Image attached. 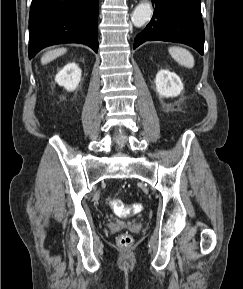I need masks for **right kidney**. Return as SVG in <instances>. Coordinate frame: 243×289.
<instances>
[{
	"label": "right kidney",
	"mask_w": 243,
	"mask_h": 289,
	"mask_svg": "<svg viewBox=\"0 0 243 289\" xmlns=\"http://www.w3.org/2000/svg\"><path fill=\"white\" fill-rule=\"evenodd\" d=\"M55 81L67 91H73L81 81V69L76 63H68L57 73Z\"/></svg>",
	"instance_id": "obj_1"
}]
</instances>
